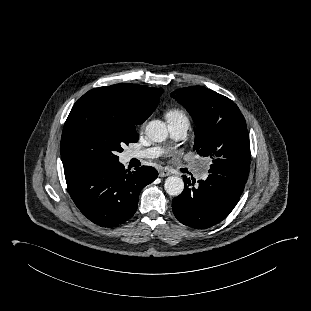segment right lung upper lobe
<instances>
[{
    "mask_svg": "<svg viewBox=\"0 0 311 311\" xmlns=\"http://www.w3.org/2000/svg\"><path fill=\"white\" fill-rule=\"evenodd\" d=\"M163 91L162 88L123 83L95 88L83 96L108 97L116 106L124 110L126 123L135 127L143 123L156 109Z\"/></svg>",
    "mask_w": 311,
    "mask_h": 311,
    "instance_id": "right-lung-upper-lobe-1",
    "label": "right lung upper lobe"
}]
</instances>
